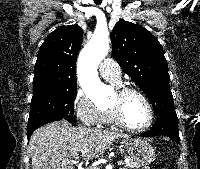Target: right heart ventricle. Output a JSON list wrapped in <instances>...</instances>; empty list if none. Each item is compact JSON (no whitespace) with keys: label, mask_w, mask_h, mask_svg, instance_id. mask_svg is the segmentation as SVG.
I'll use <instances>...</instances> for the list:
<instances>
[{"label":"right heart ventricle","mask_w":200,"mask_h":169,"mask_svg":"<svg viewBox=\"0 0 200 169\" xmlns=\"http://www.w3.org/2000/svg\"><path fill=\"white\" fill-rule=\"evenodd\" d=\"M114 120L109 109L104 110L102 124H113Z\"/></svg>","instance_id":"1"}]
</instances>
